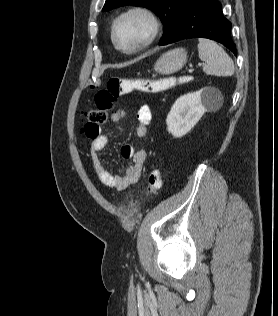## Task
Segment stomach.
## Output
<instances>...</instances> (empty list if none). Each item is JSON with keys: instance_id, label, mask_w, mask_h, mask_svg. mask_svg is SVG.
<instances>
[{"instance_id": "obj_1", "label": "stomach", "mask_w": 278, "mask_h": 316, "mask_svg": "<svg viewBox=\"0 0 278 316\" xmlns=\"http://www.w3.org/2000/svg\"><path fill=\"white\" fill-rule=\"evenodd\" d=\"M187 62V52L183 48L164 53L155 63L154 69L160 74H172L182 69Z\"/></svg>"}]
</instances>
